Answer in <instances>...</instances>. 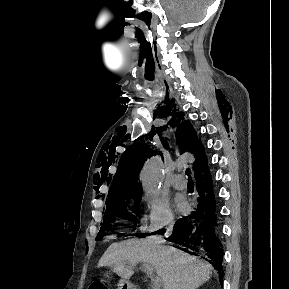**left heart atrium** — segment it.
<instances>
[{"instance_id": "1", "label": "left heart atrium", "mask_w": 289, "mask_h": 289, "mask_svg": "<svg viewBox=\"0 0 289 289\" xmlns=\"http://www.w3.org/2000/svg\"><path fill=\"white\" fill-rule=\"evenodd\" d=\"M175 206H176L177 210L184 211L186 208V202H185L184 198L181 196L176 197L175 198Z\"/></svg>"}]
</instances>
